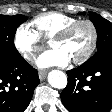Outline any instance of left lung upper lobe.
<instances>
[{
	"mask_svg": "<svg viewBox=\"0 0 112 112\" xmlns=\"http://www.w3.org/2000/svg\"><path fill=\"white\" fill-rule=\"evenodd\" d=\"M79 14L83 15L85 13ZM89 17L97 31V52L85 63L99 55L112 52V23L94 12H89Z\"/></svg>",
	"mask_w": 112,
	"mask_h": 112,
	"instance_id": "obj_1",
	"label": "left lung upper lobe"
}]
</instances>
